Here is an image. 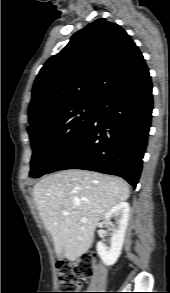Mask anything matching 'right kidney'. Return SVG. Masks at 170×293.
Wrapping results in <instances>:
<instances>
[{"label":"right kidney","instance_id":"obj_1","mask_svg":"<svg viewBox=\"0 0 170 293\" xmlns=\"http://www.w3.org/2000/svg\"><path fill=\"white\" fill-rule=\"evenodd\" d=\"M130 206L127 202H121L114 206L104 216V222L111 225V219L116 221V225H111L112 236L110 247H107L103 241H100L96 245L97 252L107 266H111L118 260L123 243L125 232L129 220Z\"/></svg>","mask_w":170,"mask_h":293}]
</instances>
